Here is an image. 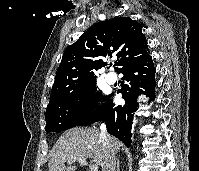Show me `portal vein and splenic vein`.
I'll return each instance as SVG.
<instances>
[{"label": "portal vein and splenic vein", "instance_id": "18ae733b", "mask_svg": "<svg viewBox=\"0 0 199 171\" xmlns=\"http://www.w3.org/2000/svg\"><path fill=\"white\" fill-rule=\"evenodd\" d=\"M69 163H71V162H69ZM79 163L82 165H88V162L86 161V159H80ZM89 169H90V171H98V166L95 164H92V165L90 164Z\"/></svg>", "mask_w": 199, "mask_h": 171}]
</instances>
